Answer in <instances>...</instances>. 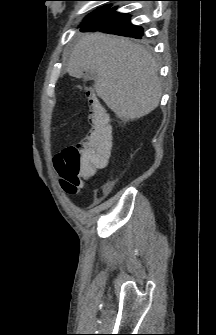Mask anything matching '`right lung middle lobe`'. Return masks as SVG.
I'll list each match as a JSON object with an SVG mask.
<instances>
[{
	"label": "right lung middle lobe",
	"instance_id": "dd1d6c3e",
	"mask_svg": "<svg viewBox=\"0 0 216 335\" xmlns=\"http://www.w3.org/2000/svg\"><path fill=\"white\" fill-rule=\"evenodd\" d=\"M109 1H116V0H109ZM111 7V5H106L103 6L99 9H97L96 11L92 12L91 14H89L85 19L82 25L88 23L89 21H91L92 19L96 18L97 16L101 15L102 13L106 12L109 8ZM81 25V26H82Z\"/></svg>",
	"mask_w": 216,
	"mask_h": 335
}]
</instances>
